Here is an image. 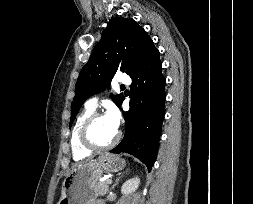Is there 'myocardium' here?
<instances>
[{"mask_svg": "<svg viewBox=\"0 0 253 204\" xmlns=\"http://www.w3.org/2000/svg\"><path fill=\"white\" fill-rule=\"evenodd\" d=\"M105 116L102 112H93L83 123L80 130V141L81 144L88 150L91 151H105L114 147L120 140L121 133L117 130L115 137L105 145L96 144L90 137V129L95 123V121L101 117Z\"/></svg>", "mask_w": 253, "mask_h": 204, "instance_id": "f54148a6", "label": "myocardium"}]
</instances>
